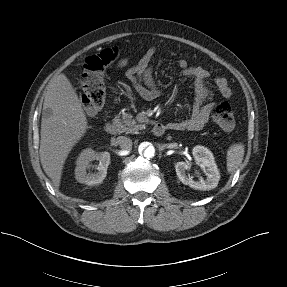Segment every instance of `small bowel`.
<instances>
[{
  "instance_id": "obj_1",
  "label": "small bowel",
  "mask_w": 287,
  "mask_h": 287,
  "mask_svg": "<svg viewBox=\"0 0 287 287\" xmlns=\"http://www.w3.org/2000/svg\"><path fill=\"white\" fill-rule=\"evenodd\" d=\"M157 50L156 46L150 47L135 65L126 70V77L138 95L145 100H153L160 95V89L153 77L152 65ZM129 61L128 57L122 58L118 62L117 67H126ZM177 65L182 76L194 79L195 100L191 115L188 118L171 122L167 126L169 129L177 131L201 130L208 123L213 108L211 91L206 84L210 73L201 66L189 65L183 58L177 60ZM215 85L222 97L228 99L232 96L231 88L225 77H217Z\"/></svg>"
}]
</instances>
